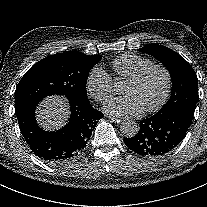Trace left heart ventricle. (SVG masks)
Masks as SVG:
<instances>
[{
    "label": "left heart ventricle",
    "mask_w": 207,
    "mask_h": 207,
    "mask_svg": "<svg viewBox=\"0 0 207 207\" xmlns=\"http://www.w3.org/2000/svg\"><path fill=\"white\" fill-rule=\"evenodd\" d=\"M166 79L158 69L151 70L139 83H125L123 93L132 97L142 111L154 107L165 91Z\"/></svg>",
    "instance_id": "left-heart-ventricle-1"
}]
</instances>
